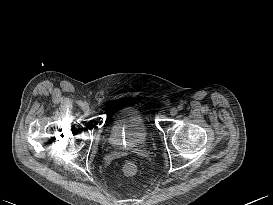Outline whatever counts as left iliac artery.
<instances>
[{"label":"left iliac artery","instance_id":"obj_1","mask_svg":"<svg viewBox=\"0 0 273 205\" xmlns=\"http://www.w3.org/2000/svg\"><path fill=\"white\" fill-rule=\"evenodd\" d=\"M178 110H180V111L183 110V106H182V105H179V106H178Z\"/></svg>","mask_w":273,"mask_h":205}]
</instances>
